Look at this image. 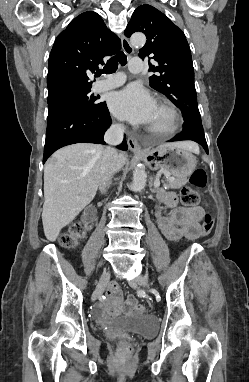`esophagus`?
I'll list each match as a JSON object with an SVG mask.
<instances>
[{"instance_id":"obj_1","label":"esophagus","mask_w":249,"mask_h":382,"mask_svg":"<svg viewBox=\"0 0 249 382\" xmlns=\"http://www.w3.org/2000/svg\"><path fill=\"white\" fill-rule=\"evenodd\" d=\"M121 45H122L123 51L126 54H132L133 53L134 49L131 46L129 40L124 35H122V38H121ZM127 143H128L129 149L132 152H134L136 154L143 153V150L141 149L139 143L137 142V140L133 136H128Z\"/></svg>"}]
</instances>
